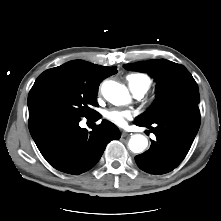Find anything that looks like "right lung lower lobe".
<instances>
[{"mask_svg": "<svg viewBox=\"0 0 221 221\" xmlns=\"http://www.w3.org/2000/svg\"><path fill=\"white\" fill-rule=\"evenodd\" d=\"M97 121L101 115L86 117ZM81 117L69 114H41L29 119V130L47 162L61 172L81 174L91 169L111 140L120 138L119 129L103 120L92 131L81 128Z\"/></svg>", "mask_w": 221, "mask_h": 221, "instance_id": "right-lung-lower-lobe-1", "label": "right lung lower lobe"}]
</instances>
